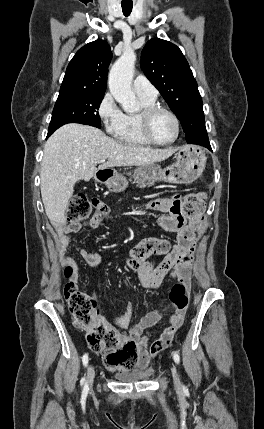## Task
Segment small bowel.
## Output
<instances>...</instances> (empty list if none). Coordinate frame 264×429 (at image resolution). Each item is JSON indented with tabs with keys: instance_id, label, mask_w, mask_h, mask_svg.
<instances>
[{
	"instance_id": "small-bowel-1",
	"label": "small bowel",
	"mask_w": 264,
	"mask_h": 429,
	"mask_svg": "<svg viewBox=\"0 0 264 429\" xmlns=\"http://www.w3.org/2000/svg\"><path fill=\"white\" fill-rule=\"evenodd\" d=\"M181 196L174 195L168 198H158L149 201L146 206L149 209L157 210L164 215L157 217L156 224L171 232L177 233L176 244H171L158 238H144L130 252L126 259V266L138 273L139 279L145 288L153 289L161 285L165 277L172 272V277L185 284H190V267L193 263V253L195 250L196 238L191 230L185 225V217L180 209ZM101 219L93 217L88 222H71L67 228L59 227L56 230V243L60 252V258L75 266L74 259L66 254L69 247L76 246L82 259L91 266L94 271L102 263L103 257L98 252H89L78 246L69 233H77L83 227L88 226L96 229ZM154 254L164 255L163 261L154 266L148 258ZM78 280V275L75 276ZM93 294V293H92ZM133 308L127 305L125 313L120 317L119 324L124 328H129V336L136 343L137 359L135 366L144 370L149 362L161 351L171 344L175 332L182 325L184 313L174 312L169 316V325L163 330L156 340L149 342L147 330L155 326L162 315L159 311L147 312L138 322L131 324Z\"/></svg>"
}]
</instances>
